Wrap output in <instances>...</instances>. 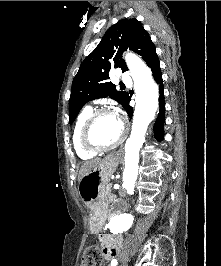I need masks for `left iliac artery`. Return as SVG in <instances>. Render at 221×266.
I'll return each instance as SVG.
<instances>
[{
    "mask_svg": "<svg viewBox=\"0 0 221 266\" xmlns=\"http://www.w3.org/2000/svg\"><path fill=\"white\" fill-rule=\"evenodd\" d=\"M116 265H117V260L113 259L112 262H111V266H116Z\"/></svg>",
    "mask_w": 221,
    "mask_h": 266,
    "instance_id": "obj_1",
    "label": "left iliac artery"
}]
</instances>
